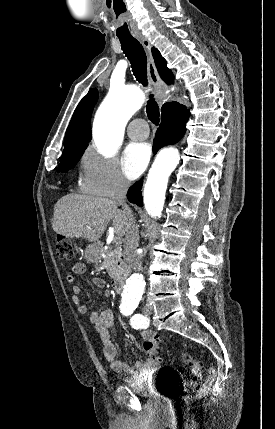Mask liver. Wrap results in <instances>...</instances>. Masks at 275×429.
Returning a JSON list of instances; mask_svg holds the SVG:
<instances>
[{"instance_id":"1","label":"liver","mask_w":275,"mask_h":429,"mask_svg":"<svg viewBox=\"0 0 275 429\" xmlns=\"http://www.w3.org/2000/svg\"><path fill=\"white\" fill-rule=\"evenodd\" d=\"M119 204L109 198L68 194L60 198L54 206L53 230L66 237H82L98 241L107 225L117 236L126 234L128 218Z\"/></svg>"}]
</instances>
